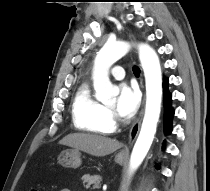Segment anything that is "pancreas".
<instances>
[{
	"instance_id": "1",
	"label": "pancreas",
	"mask_w": 210,
	"mask_h": 191,
	"mask_svg": "<svg viewBox=\"0 0 210 191\" xmlns=\"http://www.w3.org/2000/svg\"><path fill=\"white\" fill-rule=\"evenodd\" d=\"M83 180V184L86 188H90V189H99L100 188V183H101V176L99 175H94V176H90L89 174H85L82 177Z\"/></svg>"
}]
</instances>
